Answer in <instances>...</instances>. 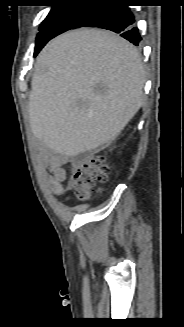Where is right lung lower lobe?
<instances>
[{
  "label": "right lung lower lobe",
  "instance_id": "1",
  "mask_svg": "<svg viewBox=\"0 0 184 327\" xmlns=\"http://www.w3.org/2000/svg\"><path fill=\"white\" fill-rule=\"evenodd\" d=\"M121 0H100L88 7L81 19L71 28L95 27L119 33L134 45L141 37L134 26L135 18L129 7L119 4Z\"/></svg>",
  "mask_w": 184,
  "mask_h": 327
}]
</instances>
